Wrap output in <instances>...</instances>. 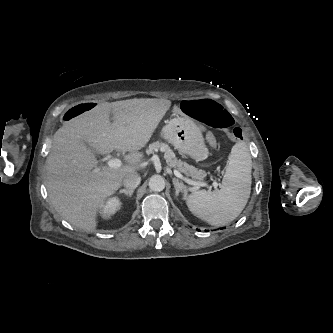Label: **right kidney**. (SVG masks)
<instances>
[{
    "label": "right kidney",
    "mask_w": 333,
    "mask_h": 333,
    "mask_svg": "<svg viewBox=\"0 0 333 333\" xmlns=\"http://www.w3.org/2000/svg\"><path fill=\"white\" fill-rule=\"evenodd\" d=\"M121 207V202L118 198L113 197L107 200L106 203H103L100 207L102 217L107 219L111 215L115 214L116 211H118Z\"/></svg>",
    "instance_id": "ca27d5eb"
}]
</instances>
